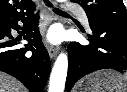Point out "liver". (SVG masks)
Wrapping results in <instances>:
<instances>
[{
  "label": "liver",
  "mask_w": 127,
  "mask_h": 92,
  "mask_svg": "<svg viewBox=\"0 0 127 92\" xmlns=\"http://www.w3.org/2000/svg\"><path fill=\"white\" fill-rule=\"evenodd\" d=\"M0 92H27V89L14 77L0 72Z\"/></svg>",
  "instance_id": "6515ba94"
}]
</instances>
